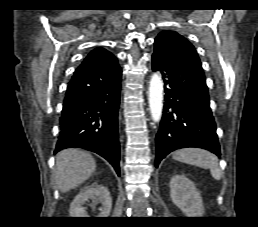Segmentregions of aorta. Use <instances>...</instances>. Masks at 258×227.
<instances>
[{"mask_svg":"<svg viewBox=\"0 0 258 227\" xmlns=\"http://www.w3.org/2000/svg\"><path fill=\"white\" fill-rule=\"evenodd\" d=\"M148 100L153 120L160 121L163 110V81L158 73H154L151 77Z\"/></svg>","mask_w":258,"mask_h":227,"instance_id":"762f6f07","label":"aorta"}]
</instances>
